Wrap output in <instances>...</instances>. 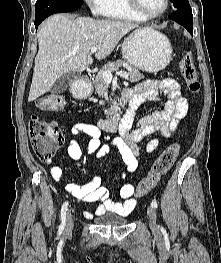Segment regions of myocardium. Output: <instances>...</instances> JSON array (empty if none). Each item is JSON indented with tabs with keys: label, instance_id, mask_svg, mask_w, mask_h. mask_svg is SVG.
Masks as SVG:
<instances>
[{
	"label": "myocardium",
	"instance_id": "1",
	"mask_svg": "<svg viewBox=\"0 0 221 263\" xmlns=\"http://www.w3.org/2000/svg\"><path fill=\"white\" fill-rule=\"evenodd\" d=\"M129 6L143 19V20H151V19H156L162 16L163 14L166 13V11L169 8L170 5V0H165V5L164 8L157 13L154 14H147L143 11L139 0H127Z\"/></svg>",
	"mask_w": 221,
	"mask_h": 263
}]
</instances>
